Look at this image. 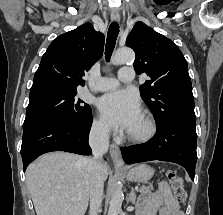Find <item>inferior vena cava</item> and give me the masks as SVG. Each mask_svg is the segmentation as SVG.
Wrapping results in <instances>:
<instances>
[{
  "label": "inferior vena cava",
  "mask_w": 223,
  "mask_h": 215,
  "mask_svg": "<svg viewBox=\"0 0 223 215\" xmlns=\"http://www.w3.org/2000/svg\"><path fill=\"white\" fill-rule=\"evenodd\" d=\"M89 143L94 157H88V169L90 173V213L97 215L102 203L104 187V171L102 155L108 151L109 129L108 127H92L89 135Z\"/></svg>",
  "instance_id": "602c4592"
}]
</instances>
